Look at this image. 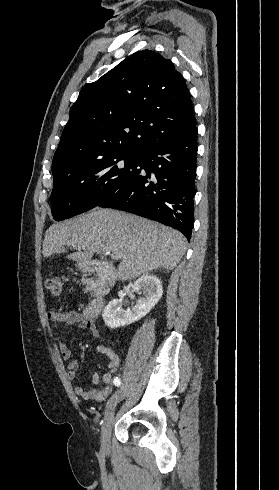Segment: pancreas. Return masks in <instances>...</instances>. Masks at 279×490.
Here are the masks:
<instances>
[{"label": "pancreas", "mask_w": 279, "mask_h": 490, "mask_svg": "<svg viewBox=\"0 0 279 490\" xmlns=\"http://www.w3.org/2000/svg\"><path fill=\"white\" fill-rule=\"evenodd\" d=\"M84 284H86L84 294H88V292H93L94 290L93 284H95V286H98L97 280H88V282H84Z\"/></svg>", "instance_id": "cf45deb5"}]
</instances>
